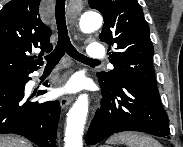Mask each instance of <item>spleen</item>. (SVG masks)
<instances>
[{
	"label": "spleen",
	"instance_id": "3e777b00",
	"mask_svg": "<svg viewBox=\"0 0 183 147\" xmlns=\"http://www.w3.org/2000/svg\"><path fill=\"white\" fill-rule=\"evenodd\" d=\"M108 144H126L128 147H162L159 142L150 136L135 133L125 132L112 136L107 140Z\"/></svg>",
	"mask_w": 183,
	"mask_h": 147
}]
</instances>
